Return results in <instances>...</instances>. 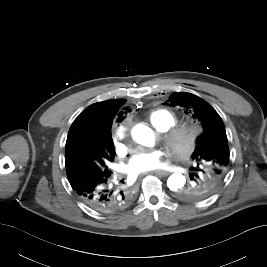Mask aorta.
<instances>
[{"instance_id":"aorta-1","label":"aorta","mask_w":267,"mask_h":267,"mask_svg":"<svg viewBox=\"0 0 267 267\" xmlns=\"http://www.w3.org/2000/svg\"><path fill=\"white\" fill-rule=\"evenodd\" d=\"M132 138L143 146H153L155 136L153 131L146 125L138 124L132 129ZM186 183V178L181 173H174L169 176L167 186L171 191L178 192Z\"/></svg>"}]
</instances>
